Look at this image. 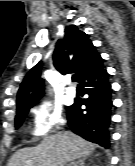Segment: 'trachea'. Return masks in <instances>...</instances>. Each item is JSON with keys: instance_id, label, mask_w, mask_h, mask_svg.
Instances as JSON below:
<instances>
[{"instance_id": "obj_1", "label": "trachea", "mask_w": 135, "mask_h": 166, "mask_svg": "<svg viewBox=\"0 0 135 166\" xmlns=\"http://www.w3.org/2000/svg\"><path fill=\"white\" fill-rule=\"evenodd\" d=\"M77 77L75 75L72 76V81L75 82Z\"/></svg>"}]
</instances>
